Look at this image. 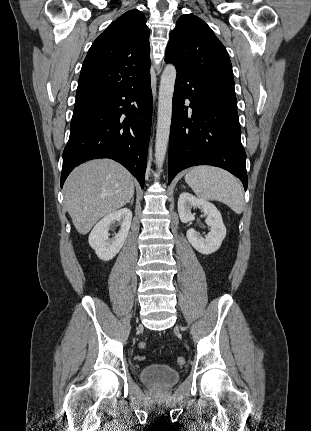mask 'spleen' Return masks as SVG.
Segmentation results:
<instances>
[{
  "instance_id": "3e777b00",
  "label": "spleen",
  "mask_w": 311,
  "mask_h": 431,
  "mask_svg": "<svg viewBox=\"0 0 311 431\" xmlns=\"http://www.w3.org/2000/svg\"><path fill=\"white\" fill-rule=\"evenodd\" d=\"M194 194L201 200H217L229 206L235 214H242L244 196L242 188L229 172L213 166H196L184 178Z\"/></svg>"
}]
</instances>
